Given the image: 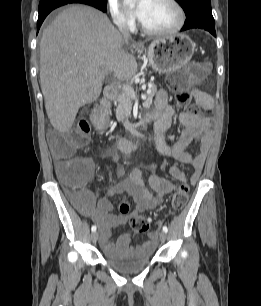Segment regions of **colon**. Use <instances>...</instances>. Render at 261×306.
Masks as SVG:
<instances>
[{
  "instance_id": "obj_1",
  "label": "colon",
  "mask_w": 261,
  "mask_h": 306,
  "mask_svg": "<svg viewBox=\"0 0 261 306\" xmlns=\"http://www.w3.org/2000/svg\"><path fill=\"white\" fill-rule=\"evenodd\" d=\"M206 75V66L202 63H191L183 70L168 77V84L175 92L179 102H186L191 98V91L202 83ZM90 117L103 119L105 111L98 107H92L87 116L80 118L75 128L64 134H56L51 140L52 150L60 161L68 162V165L59 171V177L64 184L73 188L84 185L89 176V167L86 158L73 155L76 150L85 146L91 135ZM189 188L182 184L172 196V206L175 210L182 209L188 201ZM120 211L123 214L129 212L127 203H122ZM130 227L135 232H147L150 229V220L142 215H134L130 218Z\"/></svg>"
}]
</instances>
